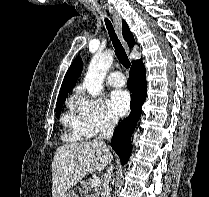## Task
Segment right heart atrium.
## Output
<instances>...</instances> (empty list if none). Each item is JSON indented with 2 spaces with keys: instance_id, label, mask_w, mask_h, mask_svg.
I'll return each mask as SVG.
<instances>
[{
  "instance_id": "right-heart-atrium-1",
  "label": "right heart atrium",
  "mask_w": 209,
  "mask_h": 197,
  "mask_svg": "<svg viewBox=\"0 0 209 197\" xmlns=\"http://www.w3.org/2000/svg\"><path fill=\"white\" fill-rule=\"evenodd\" d=\"M76 107L87 137H94L113 128L116 124L115 116L101 99L82 95L78 97Z\"/></svg>"
}]
</instances>
